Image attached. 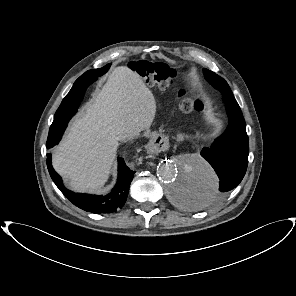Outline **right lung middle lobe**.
I'll list each match as a JSON object with an SVG mask.
<instances>
[{
  "label": "right lung middle lobe",
  "instance_id": "right-lung-middle-lobe-1",
  "mask_svg": "<svg viewBox=\"0 0 296 296\" xmlns=\"http://www.w3.org/2000/svg\"><path fill=\"white\" fill-rule=\"evenodd\" d=\"M110 64H107L103 68L89 70L86 72V75H98L101 76L109 69ZM84 94H81L74 87L70 90V92L63 99L60 107L55 113L54 116V126L62 127L64 132L68 121L70 118L76 113L77 108L79 106V102L82 100Z\"/></svg>",
  "mask_w": 296,
  "mask_h": 296
}]
</instances>
